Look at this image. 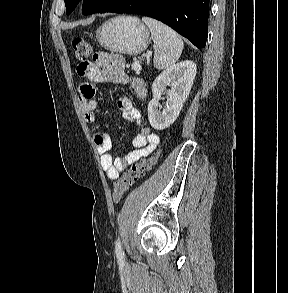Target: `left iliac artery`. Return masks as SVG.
<instances>
[{
  "label": "left iliac artery",
  "mask_w": 288,
  "mask_h": 293,
  "mask_svg": "<svg viewBox=\"0 0 288 293\" xmlns=\"http://www.w3.org/2000/svg\"><path fill=\"white\" fill-rule=\"evenodd\" d=\"M115 252H116L118 260L123 261L124 260V253H123V250L121 247V242L119 239L116 241Z\"/></svg>",
  "instance_id": "44dca946"
}]
</instances>
